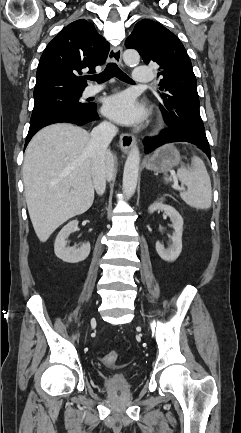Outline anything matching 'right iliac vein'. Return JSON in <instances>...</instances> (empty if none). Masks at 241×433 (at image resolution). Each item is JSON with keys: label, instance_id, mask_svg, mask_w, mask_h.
Returning <instances> with one entry per match:
<instances>
[{"label": "right iliac vein", "instance_id": "obj_1", "mask_svg": "<svg viewBox=\"0 0 241 433\" xmlns=\"http://www.w3.org/2000/svg\"><path fill=\"white\" fill-rule=\"evenodd\" d=\"M95 322V319H92L91 323L93 324Z\"/></svg>", "mask_w": 241, "mask_h": 433}]
</instances>
